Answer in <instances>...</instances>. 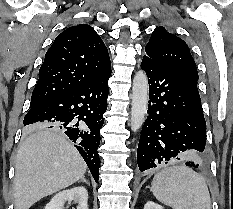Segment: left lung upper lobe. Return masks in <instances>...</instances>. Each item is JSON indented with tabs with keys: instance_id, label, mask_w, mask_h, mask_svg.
Here are the masks:
<instances>
[{
	"instance_id": "left-lung-upper-lobe-1",
	"label": "left lung upper lobe",
	"mask_w": 233,
	"mask_h": 209,
	"mask_svg": "<svg viewBox=\"0 0 233 209\" xmlns=\"http://www.w3.org/2000/svg\"><path fill=\"white\" fill-rule=\"evenodd\" d=\"M145 51L146 56L153 60L198 79L195 61L187 44L176 35L168 33L164 27H157L153 31Z\"/></svg>"
}]
</instances>
